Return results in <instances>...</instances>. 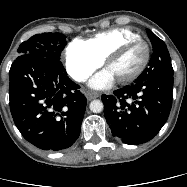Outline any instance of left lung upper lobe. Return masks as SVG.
<instances>
[{
	"label": "left lung upper lobe",
	"instance_id": "1",
	"mask_svg": "<svg viewBox=\"0 0 187 187\" xmlns=\"http://www.w3.org/2000/svg\"><path fill=\"white\" fill-rule=\"evenodd\" d=\"M147 34L153 46V53L148 67L134 81V83L159 77H169L174 74L171 58L165 43L149 29H147Z\"/></svg>",
	"mask_w": 187,
	"mask_h": 187
}]
</instances>
